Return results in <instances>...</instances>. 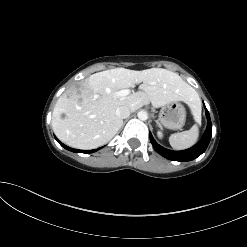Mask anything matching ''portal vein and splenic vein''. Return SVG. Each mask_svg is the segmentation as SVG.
Instances as JSON below:
<instances>
[{
    "instance_id": "1",
    "label": "portal vein and splenic vein",
    "mask_w": 247,
    "mask_h": 247,
    "mask_svg": "<svg viewBox=\"0 0 247 247\" xmlns=\"http://www.w3.org/2000/svg\"><path fill=\"white\" fill-rule=\"evenodd\" d=\"M130 93L131 92L129 89H124V90H120V91L116 92V96L123 97V96L129 95Z\"/></svg>"
}]
</instances>
